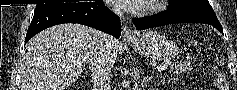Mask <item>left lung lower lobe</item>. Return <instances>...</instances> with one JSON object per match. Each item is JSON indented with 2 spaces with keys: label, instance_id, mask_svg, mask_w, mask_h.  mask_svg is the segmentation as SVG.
I'll return each mask as SVG.
<instances>
[{
  "label": "left lung lower lobe",
  "instance_id": "1",
  "mask_svg": "<svg viewBox=\"0 0 237 90\" xmlns=\"http://www.w3.org/2000/svg\"><path fill=\"white\" fill-rule=\"evenodd\" d=\"M132 21L137 30L173 23H205L212 25L223 34L222 26L216 16L188 10H167L150 17L134 18Z\"/></svg>",
  "mask_w": 237,
  "mask_h": 90
}]
</instances>
